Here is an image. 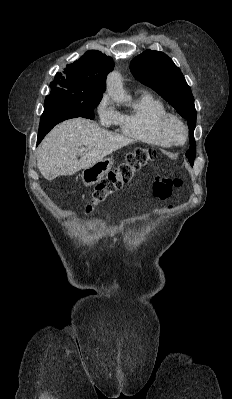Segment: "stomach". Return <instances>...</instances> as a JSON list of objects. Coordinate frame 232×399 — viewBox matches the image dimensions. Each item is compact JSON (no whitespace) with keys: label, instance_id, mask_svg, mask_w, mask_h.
<instances>
[{"label":"stomach","instance_id":"stomach-1","mask_svg":"<svg viewBox=\"0 0 232 399\" xmlns=\"http://www.w3.org/2000/svg\"><path fill=\"white\" fill-rule=\"evenodd\" d=\"M114 164V160L112 158H103L94 166H90V168H85L82 174V182L84 186H94L96 182H100L101 178L110 172L112 166Z\"/></svg>","mask_w":232,"mask_h":399}]
</instances>
